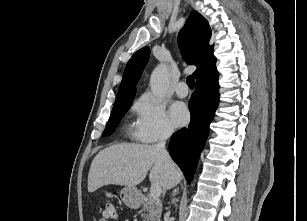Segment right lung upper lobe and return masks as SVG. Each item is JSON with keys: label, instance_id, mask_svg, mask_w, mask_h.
<instances>
[{"label": "right lung upper lobe", "instance_id": "1", "mask_svg": "<svg viewBox=\"0 0 307 221\" xmlns=\"http://www.w3.org/2000/svg\"><path fill=\"white\" fill-rule=\"evenodd\" d=\"M210 38L211 29L207 20L197 11H192L179 32L178 42L186 62L197 65L193 73L196 84L206 85L218 79L216 58L213 55V47L209 45ZM148 58V47L138 50L131 57L125 68L115 103L135 96V85Z\"/></svg>", "mask_w": 307, "mask_h": 221}]
</instances>
